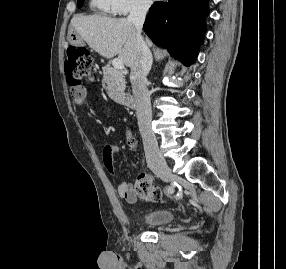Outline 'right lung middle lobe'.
Instances as JSON below:
<instances>
[{
    "mask_svg": "<svg viewBox=\"0 0 286 269\" xmlns=\"http://www.w3.org/2000/svg\"><path fill=\"white\" fill-rule=\"evenodd\" d=\"M84 0H78V7L80 8Z\"/></svg>",
    "mask_w": 286,
    "mask_h": 269,
    "instance_id": "right-lung-middle-lobe-1",
    "label": "right lung middle lobe"
}]
</instances>
